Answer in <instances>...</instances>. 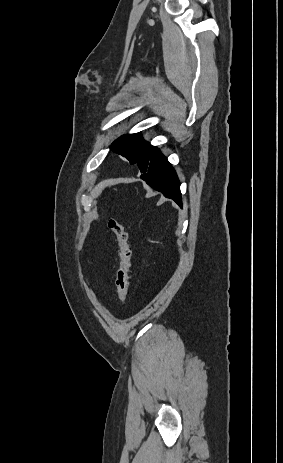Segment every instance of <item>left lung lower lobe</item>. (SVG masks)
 I'll return each mask as SVG.
<instances>
[{"mask_svg":"<svg viewBox=\"0 0 283 463\" xmlns=\"http://www.w3.org/2000/svg\"><path fill=\"white\" fill-rule=\"evenodd\" d=\"M137 165L142 173L141 179L182 207L180 183L177 175L157 147L150 146L139 158Z\"/></svg>","mask_w":283,"mask_h":463,"instance_id":"obj_1","label":"left lung lower lobe"}]
</instances>
